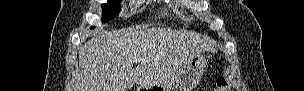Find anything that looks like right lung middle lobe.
Returning a JSON list of instances; mask_svg holds the SVG:
<instances>
[{
    "label": "right lung middle lobe",
    "instance_id": "right-lung-middle-lobe-1",
    "mask_svg": "<svg viewBox=\"0 0 304 91\" xmlns=\"http://www.w3.org/2000/svg\"><path fill=\"white\" fill-rule=\"evenodd\" d=\"M119 2L120 0H109L106 4L102 5V21L104 23L108 22L118 15L120 12Z\"/></svg>",
    "mask_w": 304,
    "mask_h": 91
}]
</instances>
